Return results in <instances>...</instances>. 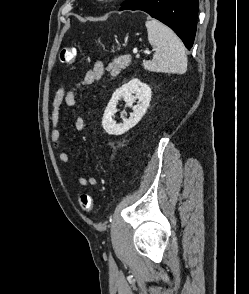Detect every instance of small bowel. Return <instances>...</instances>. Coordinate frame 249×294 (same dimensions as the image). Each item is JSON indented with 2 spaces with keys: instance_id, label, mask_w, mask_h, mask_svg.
<instances>
[{
  "instance_id": "c3829d8e",
  "label": "small bowel",
  "mask_w": 249,
  "mask_h": 294,
  "mask_svg": "<svg viewBox=\"0 0 249 294\" xmlns=\"http://www.w3.org/2000/svg\"><path fill=\"white\" fill-rule=\"evenodd\" d=\"M105 74V67L101 61H96L93 66L88 69L83 79L76 83L70 90H66L64 87H60L55 91L52 100V113H51V142L54 147L59 148L61 146V132H60V112L62 104L69 108L76 105L77 102V90L81 86L92 85L99 80ZM75 129L79 132H83L86 129V121L83 117L77 116L74 121ZM60 162L66 166H70V158L67 153L60 152L58 155ZM75 174L76 182L83 187L95 186L97 179L92 176H82L78 173Z\"/></svg>"
}]
</instances>
